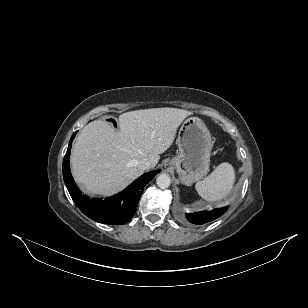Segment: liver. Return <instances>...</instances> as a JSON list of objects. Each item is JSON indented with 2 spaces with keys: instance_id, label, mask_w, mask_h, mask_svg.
Here are the masks:
<instances>
[{
  "instance_id": "liver-1",
  "label": "liver",
  "mask_w": 308,
  "mask_h": 308,
  "mask_svg": "<svg viewBox=\"0 0 308 308\" xmlns=\"http://www.w3.org/2000/svg\"><path fill=\"white\" fill-rule=\"evenodd\" d=\"M192 112L178 108L136 110L119 116V130L95 120L78 135L71 153L75 181L89 194L110 196L143 174L137 162L154 168Z\"/></svg>"
}]
</instances>
